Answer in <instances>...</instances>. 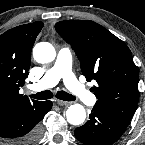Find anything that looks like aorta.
Returning a JSON list of instances; mask_svg holds the SVG:
<instances>
[{
	"instance_id": "aorta-1",
	"label": "aorta",
	"mask_w": 145,
	"mask_h": 145,
	"mask_svg": "<svg viewBox=\"0 0 145 145\" xmlns=\"http://www.w3.org/2000/svg\"><path fill=\"white\" fill-rule=\"evenodd\" d=\"M34 59L40 64L51 63L56 56L54 47L48 42H40L33 49ZM68 123L81 125L86 119V111L80 104H72L66 111Z\"/></svg>"
}]
</instances>
